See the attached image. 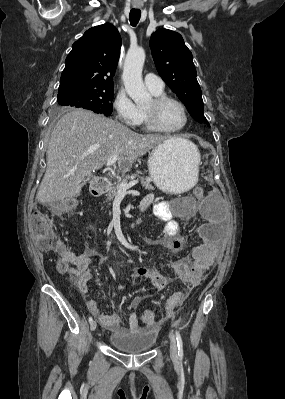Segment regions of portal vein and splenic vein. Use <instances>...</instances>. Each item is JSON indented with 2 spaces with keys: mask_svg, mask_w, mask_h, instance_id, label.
Instances as JSON below:
<instances>
[{
  "mask_svg": "<svg viewBox=\"0 0 285 399\" xmlns=\"http://www.w3.org/2000/svg\"><path fill=\"white\" fill-rule=\"evenodd\" d=\"M117 160H118V155H113L110 159H108V161H107V163H106V167H107L108 169H110V166H112L113 164H115ZM137 183H138L137 180H133V181H131V182H129V183H120V184H119L118 193L125 194L126 191H127L129 188L133 187V186L136 185Z\"/></svg>",
  "mask_w": 285,
  "mask_h": 399,
  "instance_id": "1",
  "label": "portal vein and splenic vein"
}]
</instances>
